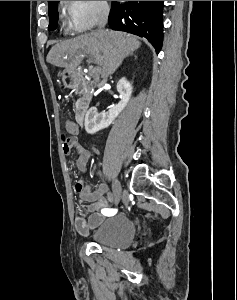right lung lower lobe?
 Wrapping results in <instances>:
<instances>
[{"label": "right lung lower lobe", "instance_id": "1", "mask_svg": "<svg viewBox=\"0 0 237 300\" xmlns=\"http://www.w3.org/2000/svg\"><path fill=\"white\" fill-rule=\"evenodd\" d=\"M163 1H113L109 26L113 30L129 32L145 37L160 51L163 39Z\"/></svg>", "mask_w": 237, "mask_h": 300}]
</instances>
